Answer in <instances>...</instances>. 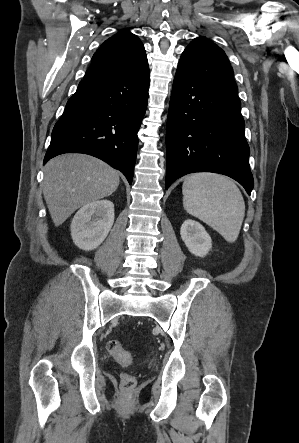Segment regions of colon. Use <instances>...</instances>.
<instances>
[{"mask_svg": "<svg viewBox=\"0 0 299 443\" xmlns=\"http://www.w3.org/2000/svg\"><path fill=\"white\" fill-rule=\"evenodd\" d=\"M106 349L108 354L120 365L128 366L132 362L131 353L123 349L117 340H109L106 344ZM120 386L123 392H131L136 386L135 377L130 374H123L121 377Z\"/></svg>", "mask_w": 299, "mask_h": 443, "instance_id": "5ec220e1", "label": "colon"}]
</instances>
